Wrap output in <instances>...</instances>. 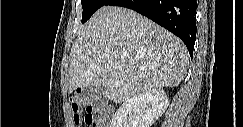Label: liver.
<instances>
[{"label":"liver","mask_w":243,"mask_h":127,"mask_svg":"<svg viewBox=\"0 0 243 127\" xmlns=\"http://www.w3.org/2000/svg\"><path fill=\"white\" fill-rule=\"evenodd\" d=\"M188 59L186 46L168 30L133 10L103 6L72 46L69 92L94 87L121 103L152 89L178 86Z\"/></svg>","instance_id":"liver-1"}]
</instances>
